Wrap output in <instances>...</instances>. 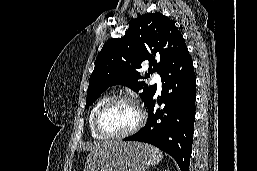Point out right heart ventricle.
<instances>
[{"instance_id": "obj_1", "label": "right heart ventricle", "mask_w": 257, "mask_h": 171, "mask_svg": "<svg viewBox=\"0 0 257 171\" xmlns=\"http://www.w3.org/2000/svg\"><path fill=\"white\" fill-rule=\"evenodd\" d=\"M110 97L109 96H103L101 97L92 107L90 113H89V117H88V124H89V129H90V133L91 136L95 139H105L104 137H102L101 135H99L95 128H94V117L95 114L97 112V110L99 109V107L106 101L108 100Z\"/></svg>"}]
</instances>
